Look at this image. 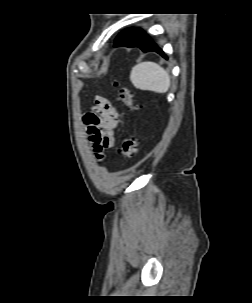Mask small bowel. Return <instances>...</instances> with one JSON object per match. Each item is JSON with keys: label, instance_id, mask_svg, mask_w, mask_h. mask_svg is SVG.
<instances>
[{"label": "small bowel", "instance_id": "1", "mask_svg": "<svg viewBox=\"0 0 252 303\" xmlns=\"http://www.w3.org/2000/svg\"><path fill=\"white\" fill-rule=\"evenodd\" d=\"M84 121L90 146L96 158L102 160L104 151L114 144L119 115L107 100L97 97L93 111L86 115Z\"/></svg>", "mask_w": 252, "mask_h": 303}]
</instances>
